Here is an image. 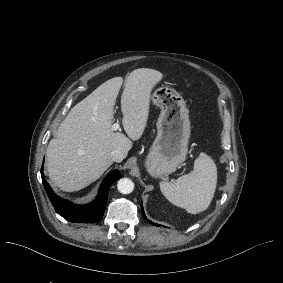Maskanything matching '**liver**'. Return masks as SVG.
<instances>
[{
  "label": "liver",
  "mask_w": 283,
  "mask_h": 283,
  "mask_svg": "<svg viewBox=\"0 0 283 283\" xmlns=\"http://www.w3.org/2000/svg\"><path fill=\"white\" fill-rule=\"evenodd\" d=\"M162 73L149 68L132 71L121 96L122 125L128 135L112 130L114 105L123 83L114 77L76 104L58 127L46 150L49 177L63 191L83 189L112 165L111 152L124 157L146 127L150 93Z\"/></svg>",
  "instance_id": "1"
}]
</instances>
